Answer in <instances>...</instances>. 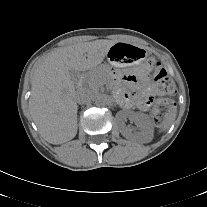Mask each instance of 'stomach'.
<instances>
[{
	"label": "stomach",
	"mask_w": 207,
	"mask_h": 207,
	"mask_svg": "<svg viewBox=\"0 0 207 207\" xmlns=\"http://www.w3.org/2000/svg\"><path fill=\"white\" fill-rule=\"evenodd\" d=\"M108 61L115 67L137 66L147 62L148 53L143 48L117 42L107 53Z\"/></svg>",
	"instance_id": "0dacf381"
}]
</instances>
